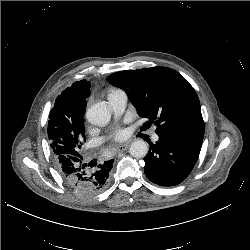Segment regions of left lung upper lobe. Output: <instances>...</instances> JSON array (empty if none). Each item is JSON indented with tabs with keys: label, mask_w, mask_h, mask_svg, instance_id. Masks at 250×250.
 Here are the masks:
<instances>
[{
	"label": "left lung upper lobe",
	"mask_w": 250,
	"mask_h": 250,
	"mask_svg": "<svg viewBox=\"0 0 250 250\" xmlns=\"http://www.w3.org/2000/svg\"><path fill=\"white\" fill-rule=\"evenodd\" d=\"M107 80L127 93L141 117L157 125L158 135L204 136L199 98L177 71L166 67L126 70Z\"/></svg>",
	"instance_id": "1"
}]
</instances>
